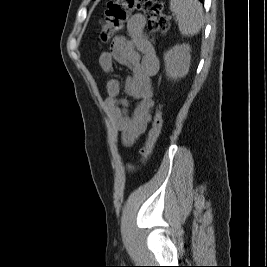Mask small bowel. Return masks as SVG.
Segmentation results:
<instances>
[{
	"label": "small bowel",
	"instance_id": "c3829d8e",
	"mask_svg": "<svg viewBox=\"0 0 267 267\" xmlns=\"http://www.w3.org/2000/svg\"><path fill=\"white\" fill-rule=\"evenodd\" d=\"M146 18L134 14L127 22V36L113 39L109 50L99 57V64L106 73H113L114 63L131 69L126 79L125 92L138 100L131 113L128 102L119 97L120 81L110 77L106 81L107 98L104 101L107 115L113 127L121 133L122 143L129 147L145 132L154 107L152 78L159 71V59L152 43L145 33Z\"/></svg>",
	"mask_w": 267,
	"mask_h": 267
}]
</instances>
